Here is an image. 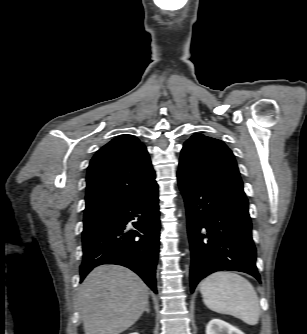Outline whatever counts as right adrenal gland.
Listing matches in <instances>:
<instances>
[{"label": "right adrenal gland", "instance_id": "1", "mask_svg": "<svg viewBox=\"0 0 307 334\" xmlns=\"http://www.w3.org/2000/svg\"><path fill=\"white\" fill-rule=\"evenodd\" d=\"M144 311L147 312V313H150L149 303L147 304V306H146V308H145Z\"/></svg>", "mask_w": 307, "mask_h": 334}]
</instances>
